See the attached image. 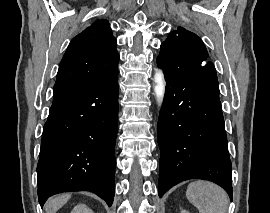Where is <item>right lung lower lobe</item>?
Returning a JSON list of instances; mask_svg holds the SVG:
<instances>
[{
    "label": "right lung lower lobe",
    "instance_id": "98d812e1",
    "mask_svg": "<svg viewBox=\"0 0 270 213\" xmlns=\"http://www.w3.org/2000/svg\"><path fill=\"white\" fill-rule=\"evenodd\" d=\"M118 115V73L87 87L55 94L37 165L41 206L61 192L92 191L111 206Z\"/></svg>",
    "mask_w": 270,
    "mask_h": 213
}]
</instances>
